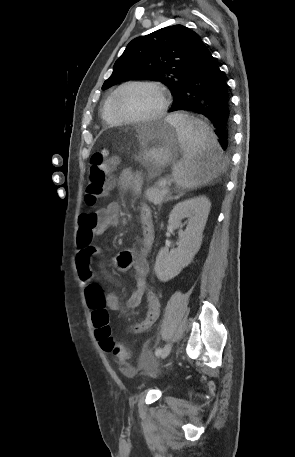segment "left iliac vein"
<instances>
[{"label":"left iliac vein","instance_id":"1","mask_svg":"<svg viewBox=\"0 0 295 457\" xmlns=\"http://www.w3.org/2000/svg\"><path fill=\"white\" fill-rule=\"evenodd\" d=\"M171 344L170 343H167L164 348L162 349V353L160 354V357L163 359L165 357H167L171 351Z\"/></svg>","mask_w":295,"mask_h":457}]
</instances>
